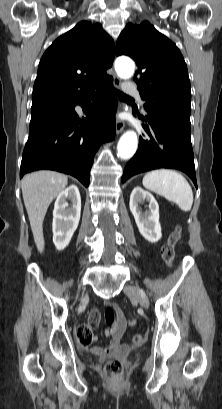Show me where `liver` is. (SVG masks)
<instances>
[{"instance_id": "1", "label": "liver", "mask_w": 222, "mask_h": 409, "mask_svg": "<svg viewBox=\"0 0 222 409\" xmlns=\"http://www.w3.org/2000/svg\"><path fill=\"white\" fill-rule=\"evenodd\" d=\"M68 177L54 171L42 170L23 177L21 182L24 205L28 213L36 247L44 250L43 221L53 199L67 186Z\"/></svg>"}]
</instances>
